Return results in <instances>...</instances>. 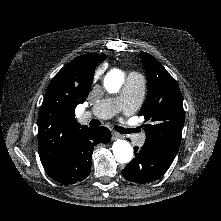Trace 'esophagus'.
<instances>
[{"mask_svg": "<svg viewBox=\"0 0 221 221\" xmlns=\"http://www.w3.org/2000/svg\"><path fill=\"white\" fill-rule=\"evenodd\" d=\"M122 137L123 136L120 133L112 132V139L113 140H116V139H119V138H122Z\"/></svg>", "mask_w": 221, "mask_h": 221, "instance_id": "34e87169", "label": "esophagus"}]
</instances>
